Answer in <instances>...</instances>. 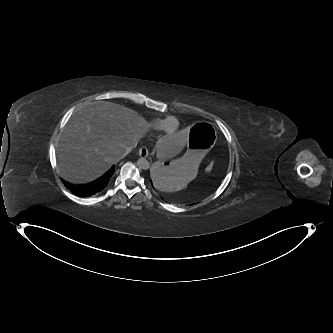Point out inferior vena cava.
I'll use <instances>...</instances> for the list:
<instances>
[{"label": "inferior vena cava", "instance_id": "inferior-vena-cava-1", "mask_svg": "<svg viewBox=\"0 0 333 333\" xmlns=\"http://www.w3.org/2000/svg\"><path fill=\"white\" fill-rule=\"evenodd\" d=\"M131 149H127L123 154L122 156H120L117 160H121L123 159L126 155H128L130 153Z\"/></svg>", "mask_w": 333, "mask_h": 333}]
</instances>
